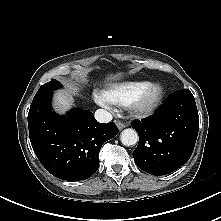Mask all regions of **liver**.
Wrapping results in <instances>:
<instances>
[{"label":"liver","mask_w":221,"mask_h":221,"mask_svg":"<svg viewBox=\"0 0 221 221\" xmlns=\"http://www.w3.org/2000/svg\"><path fill=\"white\" fill-rule=\"evenodd\" d=\"M119 76H121L120 73L115 76L110 75L107 77V79L112 80V79L119 77ZM71 105H72V101L67 96H65L61 93H58L55 96V106L59 112L64 113L66 110H68L71 107Z\"/></svg>","instance_id":"1"}]
</instances>
